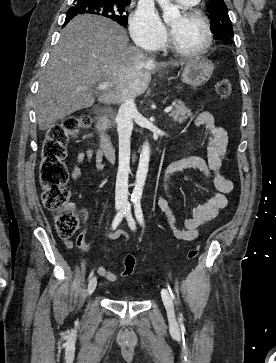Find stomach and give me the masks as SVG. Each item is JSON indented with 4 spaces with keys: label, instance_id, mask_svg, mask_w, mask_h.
Here are the masks:
<instances>
[{
    "label": "stomach",
    "instance_id": "1",
    "mask_svg": "<svg viewBox=\"0 0 276 363\" xmlns=\"http://www.w3.org/2000/svg\"><path fill=\"white\" fill-rule=\"evenodd\" d=\"M214 70L213 63L208 59H191L185 63L182 81L194 88L204 85Z\"/></svg>",
    "mask_w": 276,
    "mask_h": 363
}]
</instances>
